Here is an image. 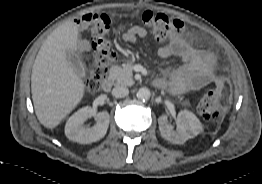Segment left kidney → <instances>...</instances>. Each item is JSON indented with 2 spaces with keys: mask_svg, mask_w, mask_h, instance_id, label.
I'll return each mask as SVG.
<instances>
[{
  "mask_svg": "<svg viewBox=\"0 0 262 184\" xmlns=\"http://www.w3.org/2000/svg\"><path fill=\"white\" fill-rule=\"evenodd\" d=\"M178 122L177 129L173 130L172 126L168 123L166 115L158 118L161 136L174 144H183L203 131V126L199 119L194 113L188 110H182L178 113Z\"/></svg>",
  "mask_w": 262,
  "mask_h": 184,
  "instance_id": "1",
  "label": "left kidney"
}]
</instances>
